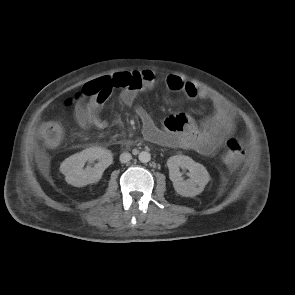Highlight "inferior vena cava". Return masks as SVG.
Instances as JSON below:
<instances>
[{
  "label": "inferior vena cava",
  "mask_w": 295,
  "mask_h": 295,
  "mask_svg": "<svg viewBox=\"0 0 295 295\" xmlns=\"http://www.w3.org/2000/svg\"><path fill=\"white\" fill-rule=\"evenodd\" d=\"M132 159V156L128 152H124L120 155V162L121 163H127Z\"/></svg>",
  "instance_id": "inferior-vena-cava-1"
}]
</instances>
